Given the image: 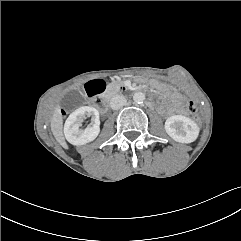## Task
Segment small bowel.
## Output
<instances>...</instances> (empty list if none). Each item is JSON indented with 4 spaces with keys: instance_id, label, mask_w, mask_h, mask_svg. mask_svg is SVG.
I'll list each match as a JSON object with an SVG mask.
<instances>
[{
    "instance_id": "obj_1",
    "label": "small bowel",
    "mask_w": 241,
    "mask_h": 241,
    "mask_svg": "<svg viewBox=\"0 0 241 241\" xmlns=\"http://www.w3.org/2000/svg\"><path fill=\"white\" fill-rule=\"evenodd\" d=\"M183 98L178 94H171L168 104L165 106V112L168 114L179 112L181 110Z\"/></svg>"
}]
</instances>
